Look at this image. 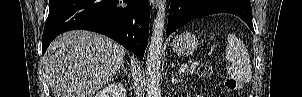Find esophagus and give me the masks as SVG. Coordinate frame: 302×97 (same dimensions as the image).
I'll use <instances>...</instances> for the list:
<instances>
[{"label":"esophagus","instance_id":"esophagus-1","mask_svg":"<svg viewBox=\"0 0 302 97\" xmlns=\"http://www.w3.org/2000/svg\"><path fill=\"white\" fill-rule=\"evenodd\" d=\"M159 1L158 0H150V4L152 5L153 8H155L158 5Z\"/></svg>","mask_w":302,"mask_h":97}]
</instances>
